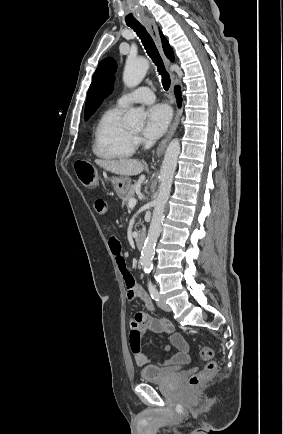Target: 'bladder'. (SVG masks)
Here are the masks:
<instances>
[{"label": "bladder", "mask_w": 283, "mask_h": 434, "mask_svg": "<svg viewBox=\"0 0 283 434\" xmlns=\"http://www.w3.org/2000/svg\"><path fill=\"white\" fill-rule=\"evenodd\" d=\"M179 372L176 368H160L153 365H148L143 368L140 378L144 382L164 381L175 377Z\"/></svg>", "instance_id": "obj_1"}]
</instances>
